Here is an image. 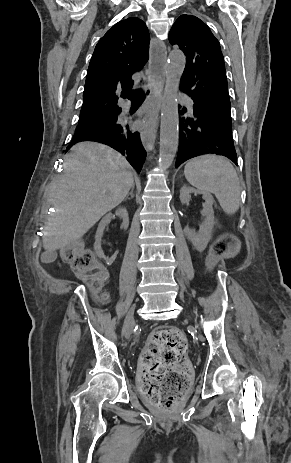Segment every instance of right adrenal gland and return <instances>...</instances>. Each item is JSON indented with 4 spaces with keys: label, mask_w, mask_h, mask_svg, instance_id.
I'll return each instance as SVG.
<instances>
[{
    "label": "right adrenal gland",
    "mask_w": 291,
    "mask_h": 463,
    "mask_svg": "<svg viewBox=\"0 0 291 463\" xmlns=\"http://www.w3.org/2000/svg\"><path fill=\"white\" fill-rule=\"evenodd\" d=\"M133 190H134V185L131 187V191L126 195L124 200H127L129 198V196L131 198H134Z\"/></svg>",
    "instance_id": "obj_1"
}]
</instances>
